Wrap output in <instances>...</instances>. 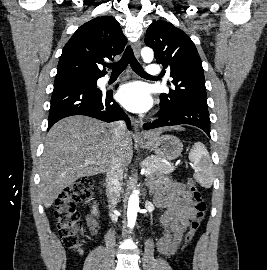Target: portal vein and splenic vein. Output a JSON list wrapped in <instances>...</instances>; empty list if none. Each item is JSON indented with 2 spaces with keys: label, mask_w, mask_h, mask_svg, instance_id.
Segmentation results:
<instances>
[{
  "label": "portal vein and splenic vein",
  "mask_w": 267,
  "mask_h": 270,
  "mask_svg": "<svg viewBox=\"0 0 267 270\" xmlns=\"http://www.w3.org/2000/svg\"><path fill=\"white\" fill-rule=\"evenodd\" d=\"M88 163H89V162H88ZM141 174H142V175L148 176V175L150 174V171H149V170H146L145 168H143V169L141 170Z\"/></svg>",
  "instance_id": "obj_1"
}]
</instances>
